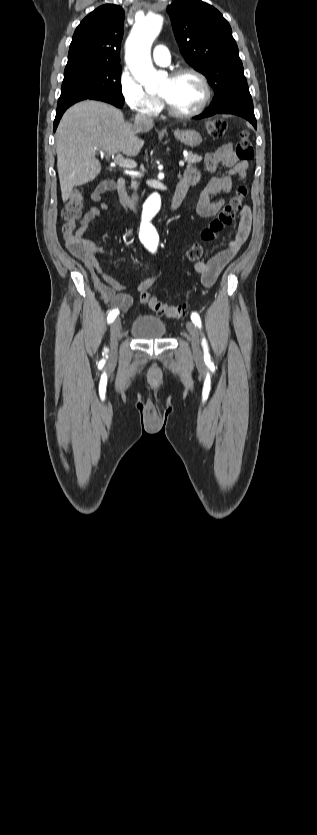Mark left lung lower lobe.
<instances>
[{"instance_id":"1","label":"left lung lower lobe","mask_w":317,"mask_h":835,"mask_svg":"<svg viewBox=\"0 0 317 835\" xmlns=\"http://www.w3.org/2000/svg\"><path fill=\"white\" fill-rule=\"evenodd\" d=\"M217 113L235 114V115L241 116V117L245 118L246 120H248L254 126V128L257 129V123H256V118H255V115H254L253 107L245 105V104H241V103H231V104H228V105L220 107V108L210 106V108L206 112L196 116L195 119L206 118V117L212 116V115L217 114Z\"/></svg>"}]
</instances>
